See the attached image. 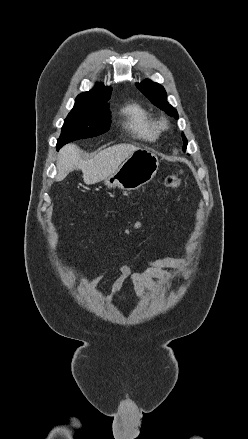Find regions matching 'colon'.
Listing matches in <instances>:
<instances>
[{"instance_id": "obj_1", "label": "colon", "mask_w": 248, "mask_h": 439, "mask_svg": "<svg viewBox=\"0 0 248 439\" xmlns=\"http://www.w3.org/2000/svg\"><path fill=\"white\" fill-rule=\"evenodd\" d=\"M180 174H181V172L172 174L169 177H167V179H166V186L170 190H175V189H177L179 187V185H180ZM140 227H141V224L137 223L134 226V229H139ZM127 233H129V231H127Z\"/></svg>"}]
</instances>
